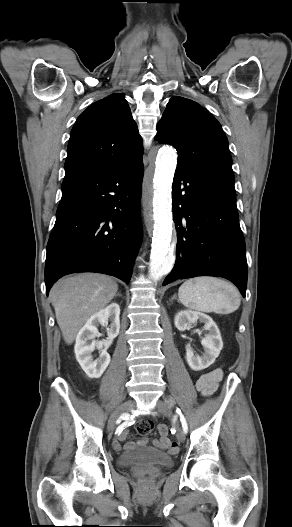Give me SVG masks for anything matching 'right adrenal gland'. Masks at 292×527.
I'll use <instances>...</instances> for the list:
<instances>
[{
    "instance_id": "1",
    "label": "right adrenal gland",
    "mask_w": 292,
    "mask_h": 527,
    "mask_svg": "<svg viewBox=\"0 0 292 527\" xmlns=\"http://www.w3.org/2000/svg\"><path fill=\"white\" fill-rule=\"evenodd\" d=\"M116 296L122 297V295L120 293H117Z\"/></svg>"
}]
</instances>
